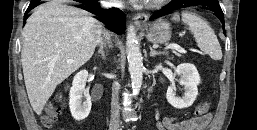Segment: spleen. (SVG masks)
Wrapping results in <instances>:
<instances>
[{"label": "spleen", "mask_w": 257, "mask_h": 130, "mask_svg": "<svg viewBox=\"0 0 257 130\" xmlns=\"http://www.w3.org/2000/svg\"><path fill=\"white\" fill-rule=\"evenodd\" d=\"M179 19L178 13L173 15L172 20L179 21ZM181 20L188 26L196 40L197 46L203 52L208 54L213 60L218 61L222 59V50L217 36L206 20L191 11H183Z\"/></svg>", "instance_id": "obj_1"}]
</instances>
